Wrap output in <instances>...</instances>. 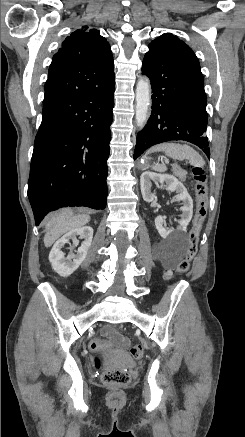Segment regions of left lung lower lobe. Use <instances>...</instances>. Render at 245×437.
Wrapping results in <instances>:
<instances>
[{"label":"left lung lower lobe","mask_w":245,"mask_h":437,"mask_svg":"<svg viewBox=\"0 0 245 437\" xmlns=\"http://www.w3.org/2000/svg\"><path fill=\"white\" fill-rule=\"evenodd\" d=\"M149 49L142 74L149 77L153 87L152 112L137 135L134 159L146 149L172 140L193 143L209 157L207 99L200 68L161 48Z\"/></svg>","instance_id":"obj_1"}]
</instances>
